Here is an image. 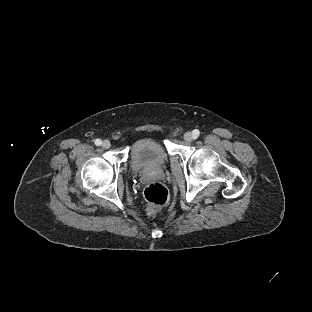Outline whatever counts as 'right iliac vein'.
I'll list each match as a JSON object with an SVG mask.
<instances>
[{"instance_id":"obj_1","label":"right iliac vein","mask_w":312,"mask_h":312,"mask_svg":"<svg viewBox=\"0 0 312 312\" xmlns=\"http://www.w3.org/2000/svg\"><path fill=\"white\" fill-rule=\"evenodd\" d=\"M102 147H103L104 149L110 148V147H111V142H110L109 140H104V141L102 142Z\"/></svg>"}]
</instances>
